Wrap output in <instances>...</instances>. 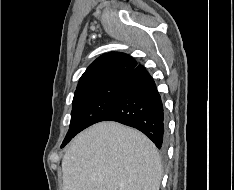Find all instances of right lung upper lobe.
I'll list each match as a JSON object with an SVG mask.
<instances>
[{"instance_id":"cb5924a9","label":"right lung upper lobe","mask_w":234,"mask_h":190,"mask_svg":"<svg viewBox=\"0 0 234 190\" xmlns=\"http://www.w3.org/2000/svg\"><path fill=\"white\" fill-rule=\"evenodd\" d=\"M136 66L137 62L125 53L110 52L103 54L83 73L75 92L112 80L125 79Z\"/></svg>"}]
</instances>
